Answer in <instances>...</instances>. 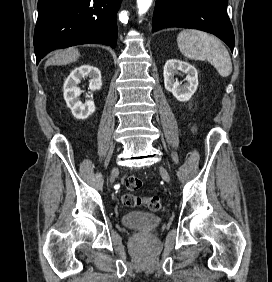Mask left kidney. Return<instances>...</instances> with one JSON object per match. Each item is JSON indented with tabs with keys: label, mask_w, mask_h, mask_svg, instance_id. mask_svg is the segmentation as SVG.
Returning a JSON list of instances; mask_svg holds the SVG:
<instances>
[{
	"label": "left kidney",
	"mask_w": 272,
	"mask_h": 282,
	"mask_svg": "<svg viewBox=\"0 0 272 282\" xmlns=\"http://www.w3.org/2000/svg\"><path fill=\"white\" fill-rule=\"evenodd\" d=\"M179 71L186 74L185 83L181 84L175 79ZM165 89L181 102L189 101L198 87V72L196 68L187 62L177 59L168 60L163 69Z\"/></svg>",
	"instance_id": "1"
}]
</instances>
